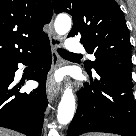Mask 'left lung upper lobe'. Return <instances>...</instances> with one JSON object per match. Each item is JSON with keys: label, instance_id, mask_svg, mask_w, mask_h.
Here are the masks:
<instances>
[{"label": "left lung upper lobe", "instance_id": "obj_1", "mask_svg": "<svg viewBox=\"0 0 136 136\" xmlns=\"http://www.w3.org/2000/svg\"><path fill=\"white\" fill-rule=\"evenodd\" d=\"M53 8L73 17L68 37L81 35L86 50L95 55V61L84 64L88 71L132 70L129 30L115 0H53Z\"/></svg>", "mask_w": 136, "mask_h": 136}]
</instances>
